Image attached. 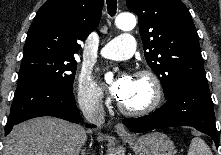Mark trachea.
Segmentation results:
<instances>
[{"label": "trachea", "mask_w": 221, "mask_h": 155, "mask_svg": "<svg viewBox=\"0 0 221 155\" xmlns=\"http://www.w3.org/2000/svg\"><path fill=\"white\" fill-rule=\"evenodd\" d=\"M107 9L110 16H114L117 10V0H106Z\"/></svg>", "instance_id": "3493384b"}]
</instances>
